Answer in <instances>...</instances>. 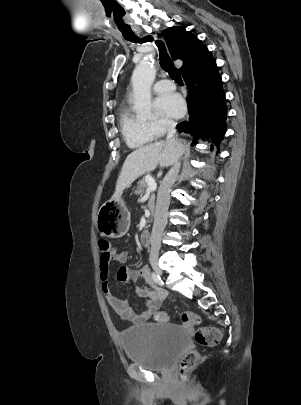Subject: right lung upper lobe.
<instances>
[{
	"mask_svg": "<svg viewBox=\"0 0 301 405\" xmlns=\"http://www.w3.org/2000/svg\"><path fill=\"white\" fill-rule=\"evenodd\" d=\"M169 52L173 59H182V74L205 64L212 59L208 51L196 36L190 35L183 27H172L162 31Z\"/></svg>",
	"mask_w": 301,
	"mask_h": 405,
	"instance_id": "cb5924a9",
	"label": "right lung upper lobe"
}]
</instances>
